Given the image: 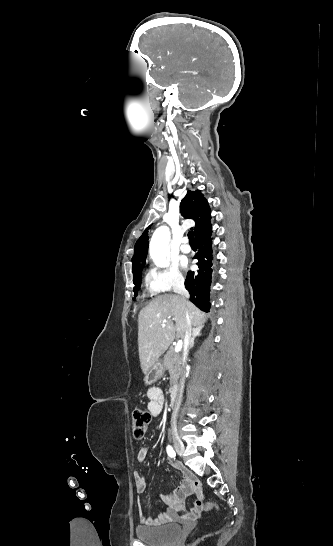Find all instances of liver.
I'll return each instance as SVG.
<instances>
[{
    "label": "liver",
    "mask_w": 333,
    "mask_h": 546,
    "mask_svg": "<svg viewBox=\"0 0 333 546\" xmlns=\"http://www.w3.org/2000/svg\"><path fill=\"white\" fill-rule=\"evenodd\" d=\"M187 318L191 326H198L206 322L207 316L176 295L158 296L140 311L138 351L145 375L175 339H184Z\"/></svg>",
    "instance_id": "6515ba94"
}]
</instances>
